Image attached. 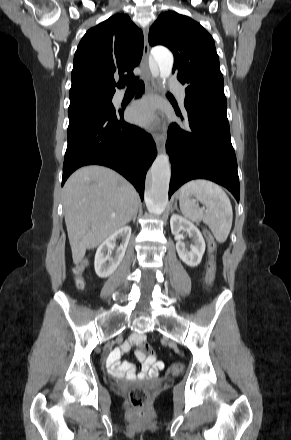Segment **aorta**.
I'll return each instance as SVG.
<instances>
[{
    "label": "aorta",
    "instance_id": "aorta-1",
    "mask_svg": "<svg viewBox=\"0 0 291 440\" xmlns=\"http://www.w3.org/2000/svg\"><path fill=\"white\" fill-rule=\"evenodd\" d=\"M152 56L158 65L161 87L165 90V81L171 75L173 68V55L163 47L152 50ZM171 177V165L166 153L156 157L149 172V181L145 192V203L148 211L161 214L168 203V189Z\"/></svg>",
    "mask_w": 291,
    "mask_h": 440
}]
</instances>
